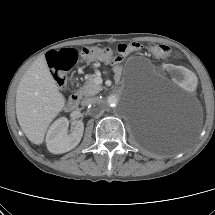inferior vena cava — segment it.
Listing matches in <instances>:
<instances>
[{"label":"inferior vena cava","instance_id":"obj_1","mask_svg":"<svg viewBox=\"0 0 215 215\" xmlns=\"http://www.w3.org/2000/svg\"><path fill=\"white\" fill-rule=\"evenodd\" d=\"M100 100L96 97H93V98H86L82 101V105L83 106H88L90 104H95V103H98Z\"/></svg>","mask_w":215,"mask_h":215}]
</instances>
